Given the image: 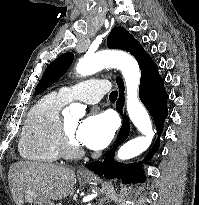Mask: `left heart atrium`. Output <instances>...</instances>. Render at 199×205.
<instances>
[{
    "label": "left heart atrium",
    "mask_w": 199,
    "mask_h": 205,
    "mask_svg": "<svg viewBox=\"0 0 199 205\" xmlns=\"http://www.w3.org/2000/svg\"><path fill=\"white\" fill-rule=\"evenodd\" d=\"M116 131V121L109 113H95L85 118L78 126V143L92 149L105 148Z\"/></svg>",
    "instance_id": "obj_1"
}]
</instances>
